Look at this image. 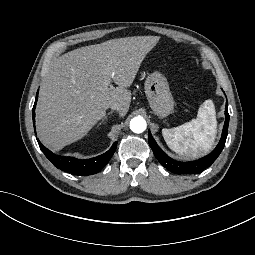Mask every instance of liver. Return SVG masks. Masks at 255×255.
Instances as JSON below:
<instances>
[{"label": "liver", "mask_w": 255, "mask_h": 255, "mask_svg": "<svg viewBox=\"0 0 255 255\" xmlns=\"http://www.w3.org/2000/svg\"><path fill=\"white\" fill-rule=\"evenodd\" d=\"M159 41L158 36L114 39L53 60L44 73L36 110L42 142L60 150L83 139L106 118L112 103L120 104L121 118L126 116L131 104L127 88Z\"/></svg>", "instance_id": "obj_1"}]
</instances>
